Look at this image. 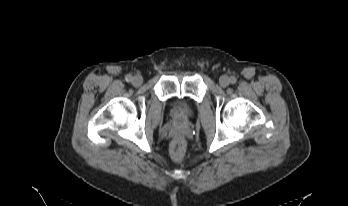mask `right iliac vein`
<instances>
[{"mask_svg":"<svg viewBox=\"0 0 348 206\" xmlns=\"http://www.w3.org/2000/svg\"><path fill=\"white\" fill-rule=\"evenodd\" d=\"M143 82V78L140 75H136L132 79V84L134 86H140Z\"/></svg>","mask_w":348,"mask_h":206,"instance_id":"1","label":"right iliac vein"}]
</instances>
